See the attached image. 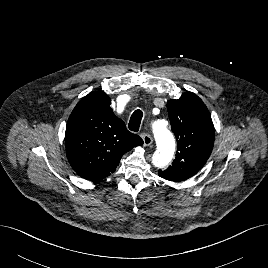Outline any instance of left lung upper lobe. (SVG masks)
Wrapping results in <instances>:
<instances>
[{"instance_id":"obj_1","label":"left lung upper lobe","mask_w":268,"mask_h":268,"mask_svg":"<svg viewBox=\"0 0 268 268\" xmlns=\"http://www.w3.org/2000/svg\"><path fill=\"white\" fill-rule=\"evenodd\" d=\"M171 129L177 139L176 158L160 177L180 182L195 175L207 162L214 144V125L203 101L186 92L167 102Z\"/></svg>"}]
</instances>
